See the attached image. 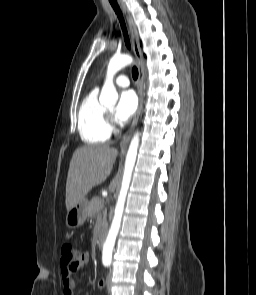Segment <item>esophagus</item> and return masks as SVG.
Segmentation results:
<instances>
[{
    "instance_id": "1",
    "label": "esophagus",
    "mask_w": 256,
    "mask_h": 295,
    "mask_svg": "<svg viewBox=\"0 0 256 295\" xmlns=\"http://www.w3.org/2000/svg\"><path fill=\"white\" fill-rule=\"evenodd\" d=\"M122 8H123V11H124L125 16L127 18V21H128V25H129V29H130V33H131L133 51H134L135 57L137 59V64H138L139 75H138L137 90H138L139 103H138V108H137V111L134 115L132 124H131L129 130L126 132V134L121 139V142H120V154L121 155L124 154L125 145L127 144L129 138L131 137V135L134 131V128L138 122V118H139L141 108H142V86H143V57H142V53H141V49H140L137 28H136V25L133 21L131 14L126 9V7L124 5H122Z\"/></svg>"
}]
</instances>
